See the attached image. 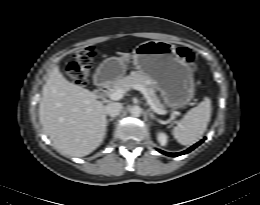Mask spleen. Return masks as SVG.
<instances>
[{"mask_svg":"<svg viewBox=\"0 0 260 205\" xmlns=\"http://www.w3.org/2000/svg\"><path fill=\"white\" fill-rule=\"evenodd\" d=\"M211 100L205 97L190 109L173 129L174 138L182 145H191L205 132L211 117Z\"/></svg>","mask_w":260,"mask_h":205,"instance_id":"3e777b00","label":"spleen"}]
</instances>
